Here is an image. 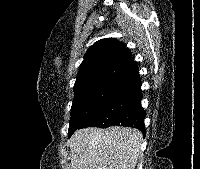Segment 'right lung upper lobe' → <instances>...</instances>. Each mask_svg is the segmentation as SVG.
Instances as JSON below:
<instances>
[{
    "label": "right lung upper lobe",
    "mask_w": 200,
    "mask_h": 169,
    "mask_svg": "<svg viewBox=\"0 0 200 169\" xmlns=\"http://www.w3.org/2000/svg\"><path fill=\"white\" fill-rule=\"evenodd\" d=\"M139 75L129 49L114 38L95 42L80 65L74 90L78 93L101 83H121Z\"/></svg>",
    "instance_id": "cb5924a9"
}]
</instances>
